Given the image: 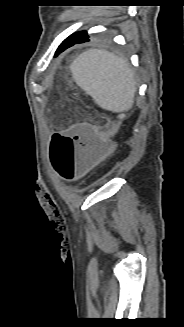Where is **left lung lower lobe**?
<instances>
[{
    "label": "left lung lower lobe",
    "mask_w": 184,
    "mask_h": 327,
    "mask_svg": "<svg viewBox=\"0 0 184 327\" xmlns=\"http://www.w3.org/2000/svg\"><path fill=\"white\" fill-rule=\"evenodd\" d=\"M79 32L71 34L69 37H67L58 47L56 50L55 55L57 56L59 53L63 52L67 48L73 46L74 44L77 43H84L89 41V36L88 35H78Z\"/></svg>",
    "instance_id": "1"
}]
</instances>
